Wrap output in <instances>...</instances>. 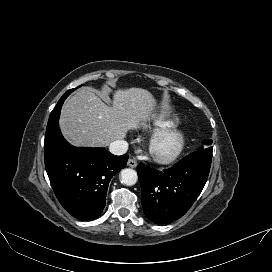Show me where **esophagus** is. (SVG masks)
Returning a JSON list of instances; mask_svg holds the SVG:
<instances>
[{
  "label": "esophagus",
  "instance_id": "obj_1",
  "mask_svg": "<svg viewBox=\"0 0 272 272\" xmlns=\"http://www.w3.org/2000/svg\"><path fill=\"white\" fill-rule=\"evenodd\" d=\"M127 166H129L131 168H135L137 166V162L133 159H129L127 162Z\"/></svg>",
  "mask_w": 272,
  "mask_h": 272
}]
</instances>
